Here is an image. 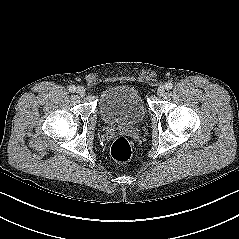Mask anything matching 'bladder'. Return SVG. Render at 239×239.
Segmentation results:
<instances>
[{
	"label": "bladder",
	"mask_w": 239,
	"mask_h": 239,
	"mask_svg": "<svg viewBox=\"0 0 239 239\" xmlns=\"http://www.w3.org/2000/svg\"><path fill=\"white\" fill-rule=\"evenodd\" d=\"M99 113L107 125L132 126L144 118L145 106L136 88L128 85H114L101 93Z\"/></svg>",
	"instance_id": "31cf9c89"
}]
</instances>
